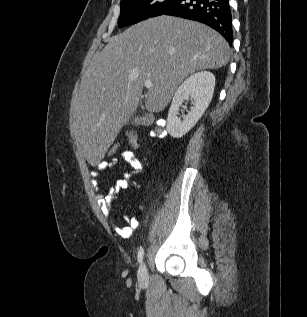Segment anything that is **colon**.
<instances>
[{
  "label": "colon",
  "mask_w": 307,
  "mask_h": 317,
  "mask_svg": "<svg viewBox=\"0 0 307 317\" xmlns=\"http://www.w3.org/2000/svg\"><path fill=\"white\" fill-rule=\"evenodd\" d=\"M166 122L164 119H157L155 120L148 128V133L151 137L154 138H161L165 135L166 129H165ZM127 138H128V144L131 149H136L138 147V136L136 132L133 129L127 130ZM123 144L121 143H115L112 144L109 149L107 150V156L109 159L116 158L123 151H125Z\"/></svg>",
  "instance_id": "1"
}]
</instances>
